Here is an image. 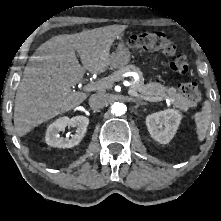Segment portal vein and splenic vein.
I'll list each match as a JSON object with an SVG mask.
<instances>
[{
    "label": "portal vein and splenic vein",
    "mask_w": 221,
    "mask_h": 221,
    "mask_svg": "<svg viewBox=\"0 0 221 221\" xmlns=\"http://www.w3.org/2000/svg\"><path fill=\"white\" fill-rule=\"evenodd\" d=\"M124 85L125 86H130L131 84L128 82V81H125L124 82ZM105 87V84L102 82V81H98V82H92L90 84H87L86 86H84L83 90L84 91H87V92H90V91H95V90H101ZM129 94H131L132 96H135L136 94L134 92H132L130 89H129ZM165 100L167 103H171L172 102V99L169 98L168 96H157V97H149V98H146L145 100L147 101H150V102H158V101H161V100Z\"/></svg>",
    "instance_id": "1"
}]
</instances>
